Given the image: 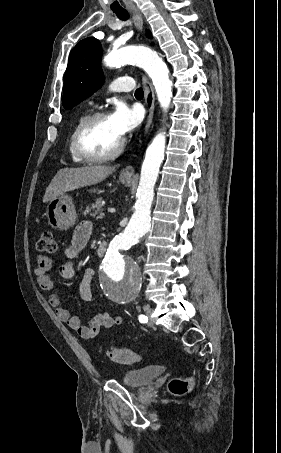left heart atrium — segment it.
<instances>
[{"label":"left heart atrium","mask_w":281,"mask_h":453,"mask_svg":"<svg viewBox=\"0 0 281 453\" xmlns=\"http://www.w3.org/2000/svg\"><path fill=\"white\" fill-rule=\"evenodd\" d=\"M114 128L124 136L135 129L142 121L141 110L138 106L132 108L124 102H118L109 116Z\"/></svg>","instance_id":"1"}]
</instances>
